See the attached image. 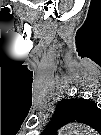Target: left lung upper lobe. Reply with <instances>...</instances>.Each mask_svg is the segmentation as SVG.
<instances>
[{"mask_svg":"<svg viewBox=\"0 0 101 135\" xmlns=\"http://www.w3.org/2000/svg\"><path fill=\"white\" fill-rule=\"evenodd\" d=\"M93 108L95 103L84 98L62 100L53 116L60 119L62 124L74 121L86 122L85 119L90 116Z\"/></svg>","mask_w":101,"mask_h":135,"instance_id":"left-lung-upper-lobe-1","label":"left lung upper lobe"}]
</instances>
